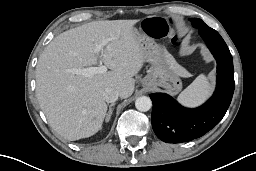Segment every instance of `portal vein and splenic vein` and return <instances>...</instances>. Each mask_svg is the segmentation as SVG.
<instances>
[{
  "mask_svg": "<svg viewBox=\"0 0 256 171\" xmlns=\"http://www.w3.org/2000/svg\"><path fill=\"white\" fill-rule=\"evenodd\" d=\"M105 44L96 45L95 52L100 53ZM73 74L83 75L85 77H92L95 74L107 72V67L105 65H100L98 67H88V68H74L71 70Z\"/></svg>",
  "mask_w": 256,
  "mask_h": 171,
  "instance_id": "obj_1",
  "label": "portal vein and splenic vein"
}]
</instances>
